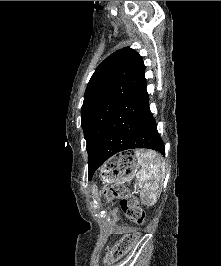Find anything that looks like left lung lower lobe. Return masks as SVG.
<instances>
[{
	"mask_svg": "<svg viewBox=\"0 0 221 266\" xmlns=\"http://www.w3.org/2000/svg\"><path fill=\"white\" fill-rule=\"evenodd\" d=\"M134 148H149L164 155V143L150 111L146 81L117 110L88 167V178L111 156Z\"/></svg>",
	"mask_w": 221,
	"mask_h": 266,
	"instance_id": "0a47b994",
	"label": "left lung lower lobe"
}]
</instances>
